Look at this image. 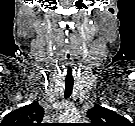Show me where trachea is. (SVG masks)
<instances>
[{"mask_svg": "<svg viewBox=\"0 0 135 126\" xmlns=\"http://www.w3.org/2000/svg\"><path fill=\"white\" fill-rule=\"evenodd\" d=\"M73 85L74 79L72 76V66H67V76L65 79V92H64L65 99H68L71 96Z\"/></svg>", "mask_w": 135, "mask_h": 126, "instance_id": "1", "label": "trachea"}]
</instances>
